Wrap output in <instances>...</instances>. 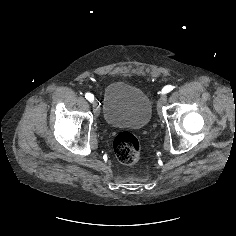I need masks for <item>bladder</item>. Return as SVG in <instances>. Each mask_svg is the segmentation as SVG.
Segmentation results:
<instances>
[{
    "mask_svg": "<svg viewBox=\"0 0 236 236\" xmlns=\"http://www.w3.org/2000/svg\"><path fill=\"white\" fill-rule=\"evenodd\" d=\"M101 112L110 127L138 129L149 123L152 102L141 89L116 81L104 91Z\"/></svg>",
    "mask_w": 236,
    "mask_h": 236,
    "instance_id": "bladder-1",
    "label": "bladder"
}]
</instances>
